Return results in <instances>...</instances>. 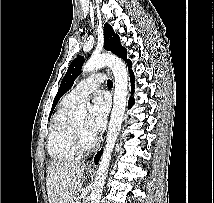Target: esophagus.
<instances>
[{
  "instance_id": "esophagus-1",
  "label": "esophagus",
  "mask_w": 214,
  "mask_h": 203,
  "mask_svg": "<svg viewBox=\"0 0 214 203\" xmlns=\"http://www.w3.org/2000/svg\"><path fill=\"white\" fill-rule=\"evenodd\" d=\"M88 166H89V167H92V166H93L92 162H90V163L88 164Z\"/></svg>"
}]
</instances>
